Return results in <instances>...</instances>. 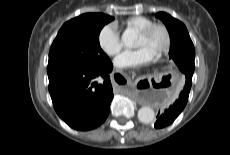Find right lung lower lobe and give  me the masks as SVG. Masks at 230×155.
Wrapping results in <instances>:
<instances>
[{
	"label": "right lung lower lobe",
	"instance_id": "1",
	"mask_svg": "<svg viewBox=\"0 0 230 155\" xmlns=\"http://www.w3.org/2000/svg\"><path fill=\"white\" fill-rule=\"evenodd\" d=\"M108 62L99 67H63L47 71L49 92L57 114L76 130H91L107 118L113 99ZM103 78V83H97Z\"/></svg>",
	"mask_w": 230,
	"mask_h": 155
}]
</instances>
